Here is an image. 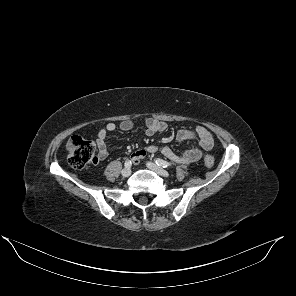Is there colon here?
<instances>
[{"label":"colon","mask_w":296,"mask_h":296,"mask_svg":"<svg viewBox=\"0 0 296 296\" xmlns=\"http://www.w3.org/2000/svg\"><path fill=\"white\" fill-rule=\"evenodd\" d=\"M95 144L79 136H73L67 143L69 162L74 168L82 169L89 163H95ZM204 165L211 168L214 165V158L210 155L204 159Z\"/></svg>","instance_id":"obj_1"}]
</instances>
